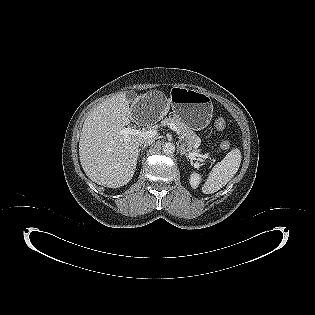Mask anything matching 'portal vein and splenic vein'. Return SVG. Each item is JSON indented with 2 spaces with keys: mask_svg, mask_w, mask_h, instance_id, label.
<instances>
[{
  "mask_svg": "<svg viewBox=\"0 0 315 315\" xmlns=\"http://www.w3.org/2000/svg\"><path fill=\"white\" fill-rule=\"evenodd\" d=\"M168 127L170 129H172L173 131H175L179 136H180V131L178 129V127L171 123L168 125ZM120 134L124 136V138L126 139L129 135H135V136H138V137H141V138H152L154 136H156L157 134V131L156 130H149V131H142V130H139V129H134V128H130V127H127V128H124L120 131ZM188 155L190 157V159L192 160H196L197 157H202V158H206L205 155H200L196 152H188ZM200 159V158H198Z\"/></svg>",
  "mask_w": 315,
  "mask_h": 315,
  "instance_id": "18ae733b",
  "label": "portal vein and splenic vein"
}]
</instances>
